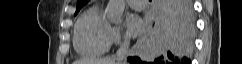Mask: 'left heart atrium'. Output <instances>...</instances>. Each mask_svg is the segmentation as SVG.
I'll use <instances>...</instances> for the list:
<instances>
[{
	"label": "left heart atrium",
	"mask_w": 242,
	"mask_h": 64,
	"mask_svg": "<svg viewBox=\"0 0 242 64\" xmlns=\"http://www.w3.org/2000/svg\"><path fill=\"white\" fill-rule=\"evenodd\" d=\"M126 25L129 35L138 36L144 30L143 21L136 14H129L126 19Z\"/></svg>",
	"instance_id": "39dd6f15"
}]
</instances>
